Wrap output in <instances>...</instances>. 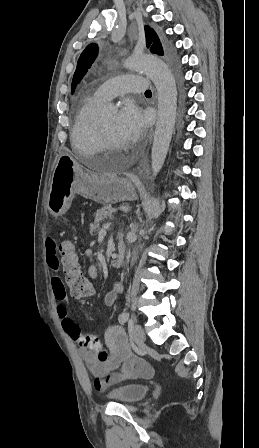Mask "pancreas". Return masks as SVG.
Segmentation results:
<instances>
[{
    "label": "pancreas",
    "instance_id": "1",
    "mask_svg": "<svg viewBox=\"0 0 259 448\" xmlns=\"http://www.w3.org/2000/svg\"><path fill=\"white\" fill-rule=\"evenodd\" d=\"M113 212H116L115 208H102L95 212V220L93 224H90V234L93 236V232H97L96 228H99L100 222H105L108 218H112Z\"/></svg>",
    "mask_w": 259,
    "mask_h": 448
}]
</instances>
